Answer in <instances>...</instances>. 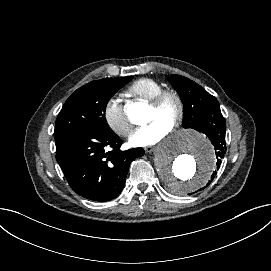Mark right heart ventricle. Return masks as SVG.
<instances>
[{"label": "right heart ventricle", "mask_w": 271, "mask_h": 271, "mask_svg": "<svg viewBox=\"0 0 271 271\" xmlns=\"http://www.w3.org/2000/svg\"><path fill=\"white\" fill-rule=\"evenodd\" d=\"M163 89V85L152 78H140L134 81L128 88L127 92L144 101H152L153 98Z\"/></svg>", "instance_id": "obj_1"}]
</instances>
